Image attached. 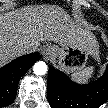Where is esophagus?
<instances>
[{
    "label": "esophagus",
    "instance_id": "esophagus-1",
    "mask_svg": "<svg viewBox=\"0 0 108 108\" xmlns=\"http://www.w3.org/2000/svg\"><path fill=\"white\" fill-rule=\"evenodd\" d=\"M54 52H55L54 48L48 46L42 50V55H43L45 60H51L53 55H54Z\"/></svg>",
    "mask_w": 108,
    "mask_h": 108
}]
</instances>
